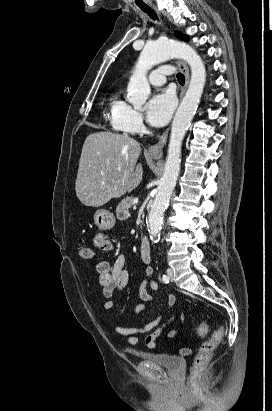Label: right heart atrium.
<instances>
[{"mask_svg": "<svg viewBox=\"0 0 272 411\" xmlns=\"http://www.w3.org/2000/svg\"><path fill=\"white\" fill-rule=\"evenodd\" d=\"M120 120L127 132L139 133L144 128L142 114L126 103L122 109Z\"/></svg>", "mask_w": 272, "mask_h": 411, "instance_id": "1", "label": "right heart atrium"}]
</instances>
